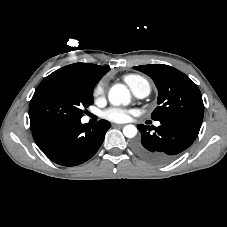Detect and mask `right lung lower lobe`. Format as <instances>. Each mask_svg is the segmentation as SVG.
I'll list each match as a JSON object with an SVG mask.
<instances>
[{
	"mask_svg": "<svg viewBox=\"0 0 227 227\" xmlns=\"http://www.w3.org/2000/svg\"><path fill=\"white\" fill-rule=\"evenodd\" d=\"M109 128L110 123L103 120L94 125L76 120L31 130L37 146L50 160L62 166H75L94 156Z\"/></svg>",
	"mask_w": 227,
	"mask_h": 227,
	"instance_id": "98d812e1",
	"label": "right lung lower lobe"
}]
</instances>
